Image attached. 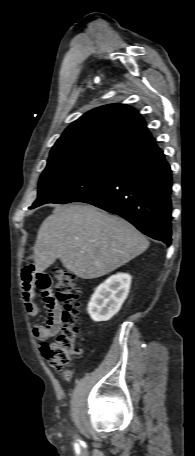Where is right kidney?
<instances>
[{
  "label": "right kidney",
  "instance_id": "1",
  "mask_svg": "<svg viewBox=\"0 0 195 456\" xmlns=\"http://www.w3.org/2000/svg\"><path fill=\"white\" fill-rule=\"evenodd\" d=\"M131 280L129 274L118 273L95 289L87 309L93 321H108L119 312L128 296Z\"/></svg>",
  "mask_w": 195,
  "mask_h": 456
}]
</instances>
